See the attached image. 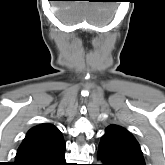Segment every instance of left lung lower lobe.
<instances>
[{
	"instance_id": "obj_1",
	"label": "left lung lower lobe",
	"mask_w": 165,
	"mask_h": 165,
	"mask_svg": "<svg viewBox=\"0 0 165 165\" xmlns=\"http://www.w3.org/2000/svg\"><path fill=\"white\" fill-rule=\"evenodd\" d=\"M98 158L103 162V164L101 165H109L99 153H98Z\"/></svg>"
}]
</instances>
